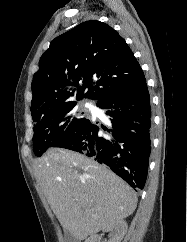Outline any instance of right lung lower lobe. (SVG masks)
Here are the masks:
<instances>
[{
    "label": "right lung lower lobe",
    "instance_id": "98d812e1",
    "mask_svg": "<svg viewBox=\"0 0 187 242\" xmlns=\"http://www.w3.org/2000/svg\"><path fill=\"white\" fill-rule=\"evenodd\" d=\"M97 106L107 110L112 124L109 134L101 135L100 127L87 119L52 147L84 154L107 165L131 187L143 189L151 152V106L146 80L103 97Z\"/></svg>",
    "mask_w": 187,
    "mask_h": 242
}]
</instances>
